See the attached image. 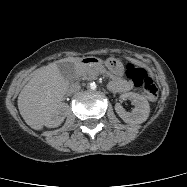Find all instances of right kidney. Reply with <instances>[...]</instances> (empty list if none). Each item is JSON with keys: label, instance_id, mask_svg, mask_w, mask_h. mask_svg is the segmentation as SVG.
Listing matches in <instances>:
<instances>
[{"label": "right kidney", "instance_id": "obj_1", "mask_svg": "<svg viewBox=\"0 0 187 187\" xmlns=\"http://www.w3.org/2000/svg\"><path fill=\"white\" fill-rule=\"evenodd\" d=\"M67 113L68 106L64 103L59 104L54 112L46 120L45 126L50 128L58 127L64 121Z\"/></svg>", "mask_w": 187, "mask_h": 187}]
</instances>
